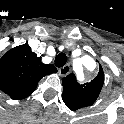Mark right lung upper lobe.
I'll use <instances>...</instances> for the list:
<instances>
[{
  "label": "right lung upper lobe",
  "instance_id": "cb5924a9",
  "mask_svg": "<svg viewBox=\"0 0 124 124\" xmlns=\"http://www.w3.org/2000/svg\"><path fill=\"white\" fill-rule=\"evenodd\" d=\"M55 72L52 64H43L41 57L23 44L0 59V89L14 100L23 99L36 89L42 77Z\"/></svg>",
  "mask_w": 124,
  "mask_h": 124
}]
</instances>
